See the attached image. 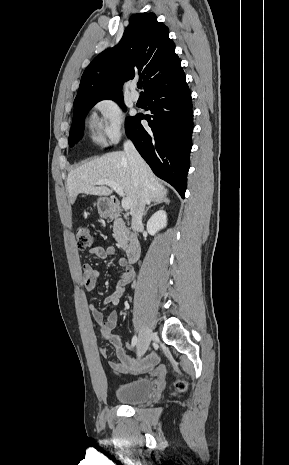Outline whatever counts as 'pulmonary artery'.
Masks as SVG:
<instances>
[{
  "label": "pulmonary artery",
  "mask_w": 289,
  "mask_h": 465,
  "mask_svg": "<svg viewBox=\"0 0 289 465\" xmlns=\"http://www.w3.org/2000/svg\"><path fill=\"white\" fill-rule=\"evenodd\" d=\"M130 95H131V98L133 99V101H138L139 93L136 90V85L135 84L131 85V93H130Z\"/></svg>",
  "instance_id": "1"
}]
</instances>
